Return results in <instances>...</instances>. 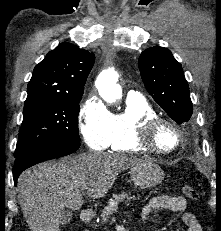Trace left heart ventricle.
I'll return each instance as SVG.
<instances>
[{
    "mask_svg": "<svg viewBox=\"0 0 221 231\" xmlns=\"http://www.w3.org/2000/svg\"><path fill=\"white\" fill-rule=\"evenodd\" d=\"M155 141L160 148L168 149L175 143V134L170 128L164 126L157 132Z\"/></svg>",
    "mask_w": 221,
    "mask_h": 231,
    "instance_id": "obj_1",
    "label": "left heart ventricle"
}]
</instances>
